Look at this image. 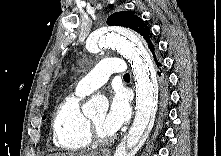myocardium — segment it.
Masks as SVG:
<instances>
[{
    "label": "myocardium",
    "mask_w": 221,
    "mask_h": 156,
    "mask_svg": "<svg viewBox=\"0 0 221 156\" xmlns=\"http://www.w3.org/2000/svg\"><path fill=\"white\" fill-rule=\"evenodd\" d=\"M87 135L90 142L95 144H107L114 138L112 134L109 136L102 135L90 118H87Z\"/></svg>",
    "instance_id": "obj_1"
}]
</instances>
